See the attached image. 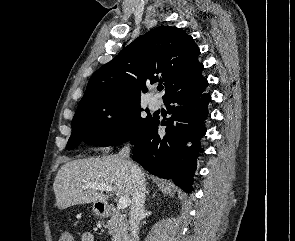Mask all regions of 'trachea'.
<instances>
[{"label": "trachea", "mask_w": 295, "mask_h": 241, "mask_svg": "<svg viewBox=\"0 0 295 241\" xmlns=\"http://www.w3.org/2000/svg\"><path fill=\"white\" fill-rule=\"evenodd\" d=\"M157 89H158L159 91H161V90L163 89V86H158Z\"/></svg>", "instance_id": "3493384b"}]
</instances>
